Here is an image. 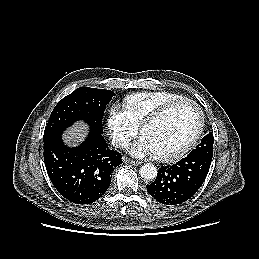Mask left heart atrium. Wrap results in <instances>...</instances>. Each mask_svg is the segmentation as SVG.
<instances>
[{
  "label": "left heart atrium",
  "mask_w": 259,
  "mask_h": 259,
  "mask_svg": "<svg viewBox=\"0 0 259 259\" xmlns=\"http://www.w3.org/2000/svg\"><path fill=\"white\" fill-rule=\"evenodd\" d=\"M128 150L131 154L138 157L155 155L151 144L145 137H141L139 140L131 144Z\"/></svg>",
  "instance_id": "1"
}]
</instances>
